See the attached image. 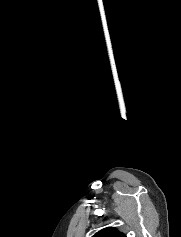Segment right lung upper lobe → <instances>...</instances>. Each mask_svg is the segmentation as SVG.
<instances>
[{
  "label": "right lung upper lobe",
  "instance_id": "cb5924a9",
  "mask_svg": "<svg viewBox=\"0 0 181 237\" xmlns=\"http://www.w3.org/2000/svg\"><path fill=\"white\" fill-rule=\"evenodd\" d=\"M93 237H126L113 227H108L97 232Z\"/></svg>",
  "mask_w": 181,
  "mask_h": 237
}]
</instances>
